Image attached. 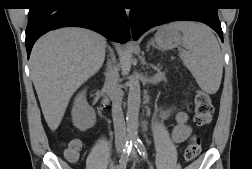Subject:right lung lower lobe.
<instances>
[{"instance_id": "98d812e1", "label": "right lung lower lobe", "mask_w": 252, "mask_h": 169, "mask_svg": "<svg viewBox=\"0 0 252 169\" xmlns=\"http://www.w3.org/2000/svg\"><path fill=\"white\" fill-rule=\"evenodd\" d=\"M76 26L94 30L109 40H129V24L120 0H36L29 10L26 49L50 30Z\"/></svg>"}]
</instances>
